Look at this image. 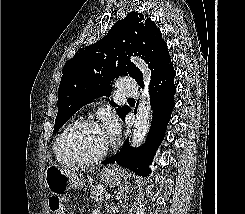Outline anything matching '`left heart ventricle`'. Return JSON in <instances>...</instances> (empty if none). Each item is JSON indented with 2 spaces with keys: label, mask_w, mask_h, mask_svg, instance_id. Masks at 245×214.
I'll list each match as a JSON object with an SVG mask.
<instances>
[{
  "label": "left heart ventricle",
  "mask_w": 245,
  "mask_h": 214,
  "mask_svg": "<svg viewBox=\"0 0 245 214\" xmlns=\"http://www.w3.org/2000/svg\"><path fill=\"white\" fill-rule=\"evenodd\" d=\"M109 145L110 141L101 127L85 126L70 136L66 149L77 157H95Z\"/></svg>",
  "instance_id": "obj_1"
}]
</instances>
